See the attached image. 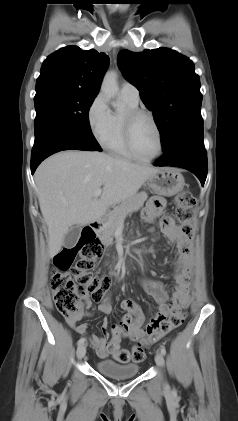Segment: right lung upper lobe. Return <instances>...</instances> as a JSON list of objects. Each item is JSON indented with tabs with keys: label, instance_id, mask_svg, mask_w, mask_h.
I'll return each instance as SVG.
<instances>
[{
	"label": "right lung upper lobe",
	"instance_id": "right-lung-upper-lobe-1",
	"mask_svg": "<svg viewBox=\"0 0 238 421\" xmlns=\"http://www.w3.org/2000/svg\"><path fill=\"white\" fill-rule=\"evenodd\" d=\"M108 64V56L94 49L61 48L43 62L36 89L56 86L97 94Z\"/></svg>",
	"mask_w": 238,
	"mask_h": 421
}]
</instances>
